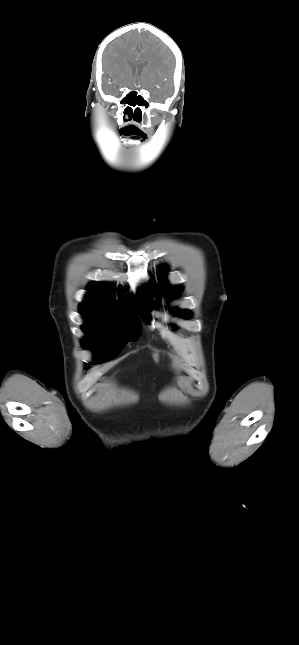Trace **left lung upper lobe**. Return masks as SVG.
<instances>
[{
  "instance_id": "left-lung-upper-lobe-1",
  "label": "left lung upper lobe",
  "mask_w": 299,
  "mask_h": 645,
  "mask_svg": "<svg viewBox=\"0 0 299 645\" xmlns=\"http://www.w3.org/2000/svg\"><path fill=\"white\" fill-rule=\"evenodd\" d=\"M161 270L162 272H165L162 268ZM160 278L161 279L159 284H156V283L149 284L146 286L144 291L139 292V294L137 295L136 304H137L139 314L141 318L147 323H149L147 306H149L150 308H153V305H154L153 302L148 303V296H154V295L160 296V293L165 291L168 285V282L165 280V276L162 275ZM181 292H182V289H178L170 298L173 299L177 297ZM180 315L184 317H190V313L188 311H183L182 313H180Z\"/></svg>"
}]
</instances>
